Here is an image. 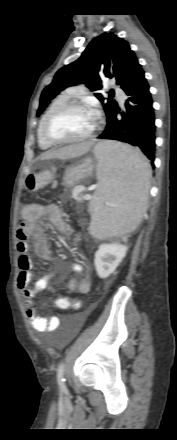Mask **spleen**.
Masks as SVG:
<instances>
[{
  "instance_id": "obj_1",
  "label": "spleen",
  "mask_w": 177,
  "mask_h": 440,
  "mask_svg": "<svg viewBox=\"0 0 177 440\" xmlns=\"http://www.w3.org/2000/svg\"><path fill=\"white\" fill-rule=\"evenodd\" d=\"M94 151L98 187L89 207L90 234L103 239L131 232L146 210L150 164L138 150L113 141L98 143Z\"/></svg>"
}]
</instances>
